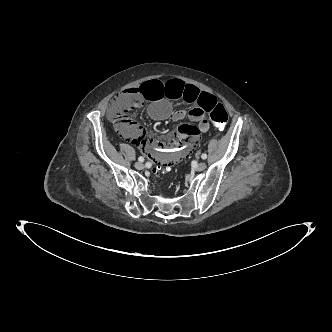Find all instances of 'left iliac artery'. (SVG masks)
Wrapping results in <instances>:
<instances>
[{
    "label": "left iliac artery",
    "mask_w": 332,
    "mask_h": 332,
    "mask_svg": "<svg viewBox=\"0 0 332 332\" xmlns=\"http://www.w3.org/2000/svg\"><path fill=\"white\" fill-rule=\"evenodd\" d=\"M201 158L205 160V159L207 158V154H206V153H203V154L201 155Z\"/></svg>",
    "instance_id": "44dca946"
}]
</instances>
